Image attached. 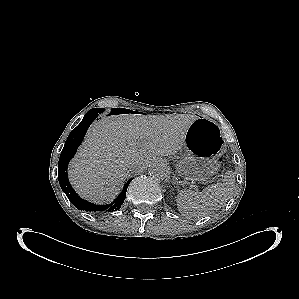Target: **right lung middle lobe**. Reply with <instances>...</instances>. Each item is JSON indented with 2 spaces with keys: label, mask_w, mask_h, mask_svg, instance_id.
I'll list each match as a JSON object with an SVG mask.
<instances>
[{
  "label": "right lung middle lobe",
  "mask_w": 299,
  "mask_h": 299,
  "mask_svg": "<svg viewBox=\"0 0 299 299\" xmlns=\"http://www.w3.org/2000/svg\"><path fill=\"white\" fill-rule=\"evenodd\" d=\"M103 111H104V109H102V108H93V109L89 110L86 114L102 113Z\"/></svg>",
  "instance_id": "obj_1"
}]
</instances>
